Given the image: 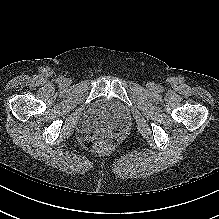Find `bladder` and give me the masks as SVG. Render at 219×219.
I'll list each match as a JSON object with an SVG mask.
<instances>
[{
  "instance_id": "bladder-1",
  "label": "bladder",
  "mask_w": 219,
  "mask_h": 219,
  "mask_svg": "<svg viewBox=\"0 0 219 219\" xmlns=\"http://www.w3.org/2000/svg\"><path fill=\"white\" fill-rule=\"evenodd\" d=\"M126 117L127 109L120 101L102 98L85 111L82 126L89 133H105L122 124Z\"/></svg>"
}]
</instances>
